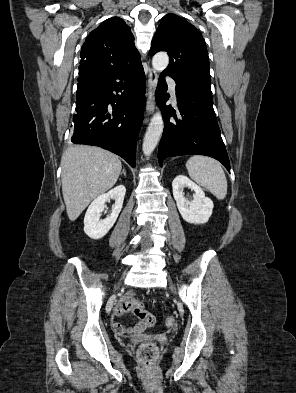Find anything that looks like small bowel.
<instances>
[{
  "mask_svg": "<svg viewBox=\"0 0 296 393\" xmlns=\"http://www.w3.org/2000/svg\"><path fill=\"white\" fill-rule=\"evenodd\" d=\"M123 299H129V300H135L133 294H127ZM119 302L117 308H116V315L120 316L122 315L125 311L122 309L121 302ZM113 328L116 333L120 335H125V334H135V335H140L145 331L146 324L143 322H137L134 325H123L118 322H113Z\"/></svg>",
  "mask_w": 296,
  "mask_h": 393,
  "instance_id": "small-bowel-1",
  "label": "small bowel"
}]
</instances>
